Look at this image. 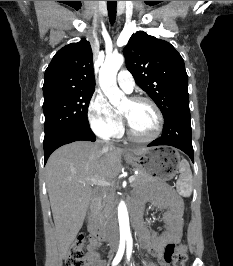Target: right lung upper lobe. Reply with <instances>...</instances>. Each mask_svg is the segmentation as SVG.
I'll return each instance as SVG.
<instances>
[{
	"label": "right lung upper lobe",
	"instance_id": "cb5924a9",
	"mask_svg": "<svg viewBox=\"0 0 233 266\" xmlns=\"http://www.w3.org/2000/svg\"><path fill=\"white\" fill-rule=\"evenodd\" d=\"M78 90H95L93 54L86 39L60 49L45 71L44 96Z\"/></svg>",
	"mask_w": 233,
	"mask_h": 266
}]
</instances>
